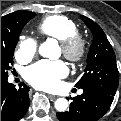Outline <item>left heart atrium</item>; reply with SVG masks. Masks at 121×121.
I'll use <instances>...</instances> for the list:
<instances>
[{"label": "left heart atrium", "mask_w": 121, "mask_h": 121, "mask_svg": "<svg viewBox=\"0 0 121 121\" xmlns=\"http://www.w3.org/2000/svg\"><path fill=\"white\" fill-rule=\"evenodd\" d=\"M67 71L62 61L42 60L27 68L24 76L34 87L49 91L59 86Z\"/></svg>", "instance_id": "obj_1"}]
</instances>
